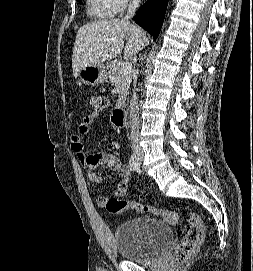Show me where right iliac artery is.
<instances>
[{"label":"right iliac artery","instance_id":"obj_1","mask_svg":"<svg viewBox=\"0 0 253 271\" xmlns=\"http://www.w3.org/2000/svg\"><path fill=\"white\" fill-rule=\"evenodd\" d=\"M129 167L131 171H136L139 169L138 160L136 159L135 155H131L129 159Z\"/></svg>","mask_w":253,"mask_h":271}]
</instances>
